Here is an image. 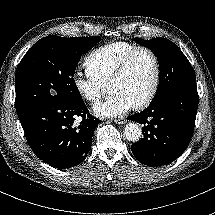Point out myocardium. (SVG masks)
<instances>
[{
  "label": "myocardium",
  "mask_w": 215,
  "mask_h": 215,
  "mask_svg": "<svg viewBox=\"0 0 215 215\" xmlns=\"http://www.w3.org/2000/svg\"><path fill=\"white\" fill-rule=\"evenodd\" d=\"M139 52H146L147 54H149V56L151 57L152 62H153L154 73H153V79H152L151 86H150L146 96L143 98L142 101L133 105V109H135V110H143L146 107H148L150 105V103L152 102L153 98L155 97L156 92L158 90V86L160 83V77H161V66H160V62H159V58H158L157 54L149 47L136 46L135 48L130 50L128 53H126L118 61L114 71L112 72V74L108 80V84H109L111 81L122 76L124 74V72L126 71L128 65L130 64L131 60L133 59V57Z\"/></svg>",
  "instance_id": "f54148a6"
}]
</instances>
